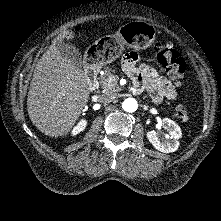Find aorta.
Returning <instances> with one entry per match:
<instances>
[{
    "instance_id": "762f6f07",
    "label": "aorta",
    "mask_w": 221,
    "mask_h": 221,
    "mask_svg": "<svg viewBox=\"0 0 221 221\" xmlns=\"http://www.w3.org/2000/svg\"><path fill=\"white\" fill-rule=\"evenodd\" d=\"M122 108L124 111H126L128 113H133L137 110L138 103H137L136 99H134V98H127L123 101Z\"/></svg>"
}]
</instances>
